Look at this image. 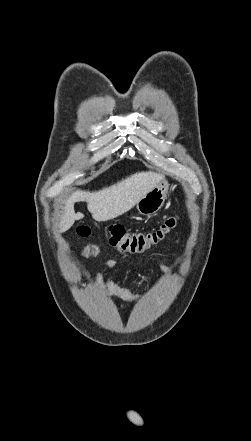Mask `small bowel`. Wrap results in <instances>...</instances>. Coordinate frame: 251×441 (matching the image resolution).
Instances as JSON below:
<instances>
[{
    "label": "small bowel",
    "instance_id": "small-bowel-1",
    "mask_svg": "<svg viewBox=\"0 0 251 441\" xmlns=\"http://www.w3.org/2000/svg\"><path fill=\"white\" fill-rule=\"evenodd\" d=\"M80 255L84 258L95 259L99 257V250L97 246L89 244L80 251ZM105 264L107 275L105 276L103 273L98 272L94 276V285L103 296L130 302H138L144 300L143 295L132 292L130 289L120 285L114 279L113 273L116 270L118 264L117 260L107 259ZM161 269L166 274L170 273V268L164 262L161 264Z\"/></svg>",
    "mask_w": 251,
    "mask_h": 441
}]
</instances>
